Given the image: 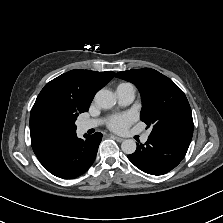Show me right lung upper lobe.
<instances>
[{
	"label": "right lung upper lobe",
	"mask_w": 223,
	"mask_h": 223,
	"mask_svg": "<svg viewBox=\"0 0 223 223\" xmlns=\"http://www.w3.org/2000/svg\"><path fill=\"white\" fill-rule=\"evenodd\" d=\"M114 72L71 70L48 82L38 95L30 117L41 107L53 106L75 112H86L98 90L113 77ZM31 144L36 156L43 154L75 133L48 135L30 126Z\"/></svg>",
	"instance_id": "right-lung-upper-lobe-1"
}]
</instances>
